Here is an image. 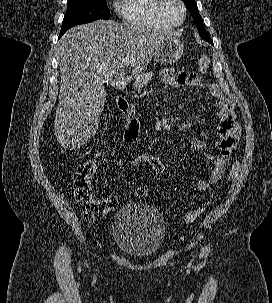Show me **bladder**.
I'll use <instances>...</instances> for the list:
<instances>
[{
  "instance_id": "bladder-1",
  "label": "bladder",
  "mask_w": 272,
  "mask_h": 303,
  "mask_svg": "<svg viewBox=\"0 0 272 303\" xmlns=\"http://www.w3.org/2000/svg\"><path fill=\"white\" fill-rule=\"evenodd\" d=\"M165 221L154 207L130 203L115 213L112 233L118 249L133 258L155 254L165 238Z\"/></svg>"
}]
</instances>
